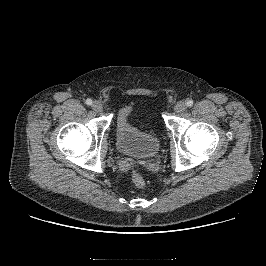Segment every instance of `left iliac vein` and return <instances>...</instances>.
<instances>
[{
    "label": "left iliac vein",
    "mask_w": 266,
    "mask_h": 266,
    "mask_svg": "<svg viewBox=\"0 0 266 266\" xmlns=\"http://www.w3.org/2000/svg\"><path fill=\"white\" fill-rule=\"evenodd\" d=\"M186 108H187L186 103H184L183 101H180V102H178V103L175 105L174 110H175V112H177V113H182V112H184V111L186 110Z\"/></svg>",
    "instance_id": "4c4485c4"
}]
</instances>
